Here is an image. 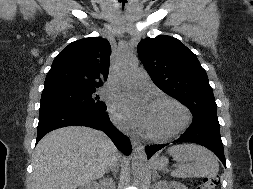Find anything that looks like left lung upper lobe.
I'll list each match as a JSON object with an SVG mask.
<instances>
[{
    "label": "left lung upper lobe",
    "instance_id": "obj_1",
    "mask_svg": "<svg viewBox=\"0 0 253 189\" xmlns=\"http://www.w3.org/2000/svg\"><path fill=\"white\" fill-rule=\"evenodd\" d=\"M138 55L156 86L185 104L193 121L218 122L207 73L190 49L174 37L160 35L143 39Z\"/></svg>",
    "mask_w": 253,
    "mask_h": 189
}]
</instances>
